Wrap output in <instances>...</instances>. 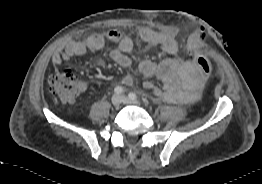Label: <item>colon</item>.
Here are the masks:
<instances>
[{
    "mask_svg": "<svg viewBox=\"0 0 262 184\" xmlns=\"http://www.w3.org/2000/svg\"><path fill=\"white\" fill-rule=\"evenodd\" d=\"M193 60L205 76H210L212 74L213 66L206 56L195 54ZM48 84L49 90L57 95L59 100L63 103L72 102L81 91V83L69 70L50 75L48 78Z\"/></svg>",
    "mask_w": 262,
    "mask_h": 184,
    "instance_id": "1",
    "label": "colon"
}]
</instances>
